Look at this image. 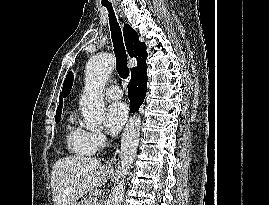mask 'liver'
Instances as JSON below:
<instances>
[{"label":"liver","mask_w":269,"mask_h":205,"mask_svg":"<svg viewBox=\"0 0 269 205\" xmlns=\"http://www.w3.org/2000/svg\"><path fill=\"white\" fill-rule=\"evenodd\" d=\"M110 168V164H102L100 159L91 157L58 159L51 174L54 205H75L89 190L107 183Z\"/></svg>","instance_id":"6515ba94"}]
</instances>
